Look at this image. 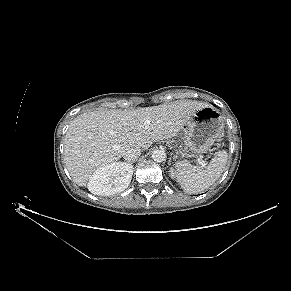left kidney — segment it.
<instances>
[{"instance_id": "obj_1", "label": "left kidney", "mask_w": 291, "mask_h": 291, "mask_svg": "<svg viewBox=\"0 0 291 291\" xmlns=\"http://www.w3.org/2000/svg\"><path fill=\"white\" fill-rule=\"evenodd\" d=\"M169 172H170V176H171V177H175V173H174V171H173L172 168H170V171H169Z\"/></svg>"}]
</instances>
